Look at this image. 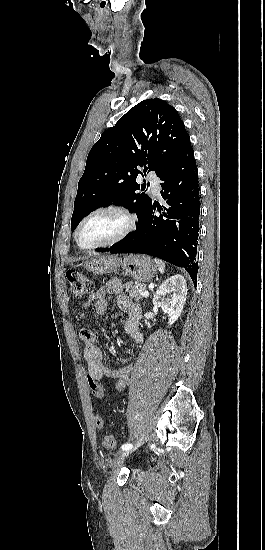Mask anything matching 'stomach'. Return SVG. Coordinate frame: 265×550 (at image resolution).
<instances>
[{
    "label": "stomach",
    "instance_id": "obj_1",
    "mask_svg": "<svg viewBox=\"0 0 265 550\" xmlns=\"http://www.w3.org/2000/svg\"><path fill=\"white\" fill-rule=\"evenodd\" d=\"M95 274H107L121 267L125 274L138 282H149L156 273L153 261L145 255L118 256L94 255L81 264Z\"/></svg>",
    "mask_w": 265,
    "mask_h": 550
}]
</instances>
